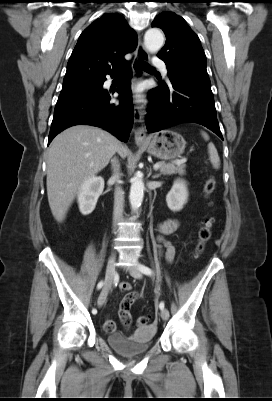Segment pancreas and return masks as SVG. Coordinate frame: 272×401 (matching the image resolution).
Wrapping results in <instances>:
<instances>
[{
  "instance_id": "cf45deb5",
  "label": "pancreas",
  "mask_w": 272,
  "mask_h": 401,
  "mask_svg": "<svg viewBox=\"0 0 272 401\" xmlns=\"http://www.w3.org/2000/svg\"><path fill=\"white\" fill-rule=\"evenodd\" d=\"M185 167L184 163L175 164V163H161L160 172L163 175H172V174H185Z\"/></svg>"
}]
</instances>
